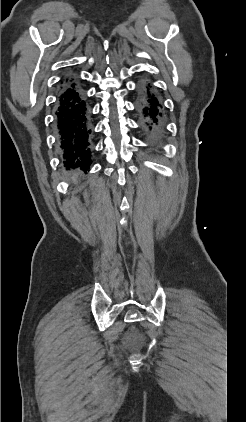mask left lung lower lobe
Listing matches in <instances>:
<instances>
[{
    "label": "left lung lower lobe",
    "instance_id": "obj_1",
    "mask_svg": "<svg viewBox=\"0 0 246 422\" xmlns=\"http://www.w3.org/2000/svg\"><path fill=\"white\" fill-rule=\"evenodd\" d=\"M137 109L143 130L152 141H155L163 132V107L158 94L144 81L139 86Z\"/></svg>",
    "mask_w": 246,
    "mask_h": 422
}]
</instances>
